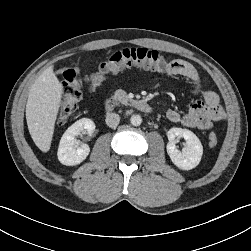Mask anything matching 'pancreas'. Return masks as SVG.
<instances>
[{"instance_id":"obj_1","label":"pancreas","mask_w":251,"mask_h":251,"mask_svg":"<svg viewBox=\"0 0 251 251\" xmlns=\"http://www.w3.org/2000/svg\"><path fill=\"white\" fill-rule=\"evenodd\" d=\"M112 99H114V100H120L124 104H126L129 101L127 93L124 90H122V89L116 90L114 92V95L112 96Z\"/></svg>"}]
</instances>
